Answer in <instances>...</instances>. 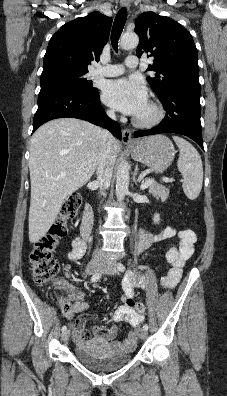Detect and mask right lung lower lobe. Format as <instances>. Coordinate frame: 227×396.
Segmentation results:
<instances>
[{
  "label": "right lung lower lobe",
  "mask_w": 227,
  "mask_h": 396,
  "mask_svg": "<svg viewBox=\"0 0 227 396\" xmlns=\"http://www.w3.org/2000/svg\"><path fill=\"white\" fill-rule=\"evenodd\" d=\"M65 117L89 121L108 129L115 137L121 139L120 127L117 122L106 116L98 91L86 94L67 87L40 90L38 109L33 120V132L47 121Z\"/></svg>",
  "instance_id": "98d812e1"
}]
</instances>
